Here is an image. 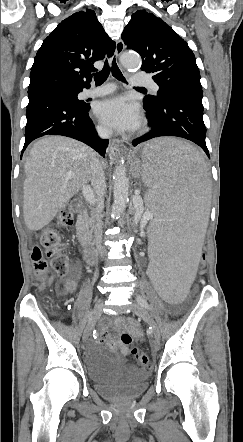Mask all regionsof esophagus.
<instances>
[{"label":"esophagus","instance_id":"esophagus-1","mask_svg":"<svg viewBox=\"0 0 243 442\" xmlns=\"http://www.w3.org/2000/svg\"><path fill=\"white\" fill-rule=\"evenodd\" d=\"M125 48L122 39H119L116 43L115 55L117 58L120 57ZM110 157L119 158L123 155V143L120 140L113 139L109 146Z\"/></svg>","mask_w":243,"mask_h":442}]
</instances>
